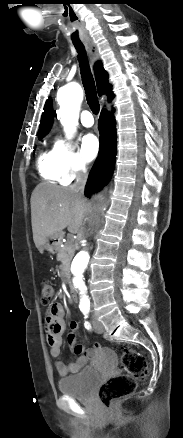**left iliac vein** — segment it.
I'll return each mask as SVG.
<instances>
[{"label":"left iliac vein","instance_id":"4c4485c4","mask_svg":"<svg viewBox=\"0 0 183 438\" xmlns=\"http://www.w3.org/2000/svg\"><path fill=\"white\" fill-rule=\"evenodd\" d=\"M93 326H94V329L97 333L104 332V327H103L102 323L96 317L93 318Z\"/></svg>","mask_w":183,"mask_h":438}]
</instances>
